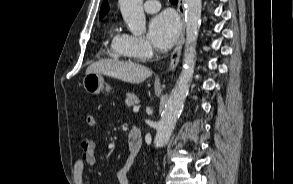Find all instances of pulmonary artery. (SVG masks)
Instances as JSON below:
<instances>
[{"label":"pulmonary artery","mask_w":293,"mask_h":184,"mask_svg":"<svg viewBox=\"0 0 293 184\" xmlns=\"http://www.w3.org/2000/svg\"><path fill=\"white\" fill-rule=\"evenodd\" d=\"M143 7L147 13H156L160 10L161 5L157 0H146Z\"/></svg>","instance_id":"obj_1"}]
</instances>
